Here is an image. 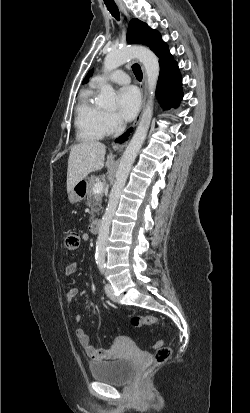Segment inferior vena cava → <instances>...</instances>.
I'll list each match as a JSON object with an SVG mask.
<instances>
[{
  "label": "inferior vena cava",
  "instance_id": "602c4592",
  "mask_svg": "<svg viewBox=\"0 0 250 413\" xmlns=\"http://www.w3.org/2000/svg\"><path fill=\"white\" fill-rule=\"evenodd\" d=\"M124 129H125V126H124V124H123V121H122V120H119V121H118V127H117V129H116V131H115L114 137L119 136V135L124 131Z\"/></svg>",
  "mask_w": 250,
  "mask_h": 413
}]
</instances>
